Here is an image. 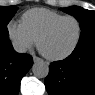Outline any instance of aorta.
Masks as SVG:
<instances>
[{"mask_svg":"<svg viewBox=\"0 0 95 95\" xmlns=\"http://www.w3.org/2000/svg\"><path fill=\"white\" fill-rule=\"evenodd\" d=\"M32 72L37 78H45L49 73V65L43 60L37 61L32 66Z\"/></svg>","mask_w":95,"mask_h":95,"instance_id":"1","label":"aorta"}]
</instances>
